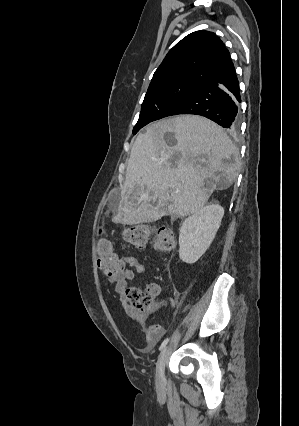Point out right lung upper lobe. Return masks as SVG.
I'll use <instances>...</instances> for the list:
<instances>
[{
  "label": "right lung upper lobe",
  "instance_id": "right-lung-upper-lobe-1",
  "mask_svg": "<svg viewBox=\"0 0 299 426\" xmlns=\"http://www.w3.org/2000/svg\"><path fill=\"white\" fill-rule=\"evenodd\" d=\"M233 67L229 51L214 33L196 31L179 41L153 75L149 88L166 83L200 86Z\"/></svg>",
  "mask_w": 299,
  "mask_h": 426
}]
</instances>
